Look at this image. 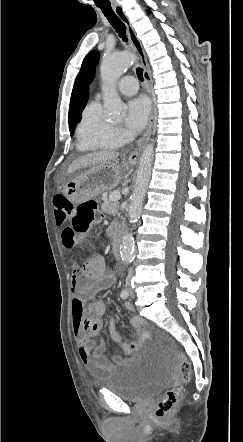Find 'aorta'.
I'll return each instance as SVG.
<instances>
[{"label":"aorta","instance_id":"aorta-1","mask_svg":"<svg viewBox=\"0 0 243 442\" xmlns=\"http://www.w3.org/2000/svg\"><path fill=\"white\" fill-rule=\"evenodd\" d=\"M134 63L132 54L125 52L115 55H107L103 58L100 72L105 83L104 108L109 116L117 117L125 112L126 106L118 96L113 84L129 69ZM154 161V145L149 143L140 159L134 189L130 197L128 215L131 223L138 220L141 215L143 201L151 178ZM122 260L131 261L134 257V238L130 232L124 234L120 246Z\"/></svg>","mask_w":243,"mask_h":442}]
</instances>
